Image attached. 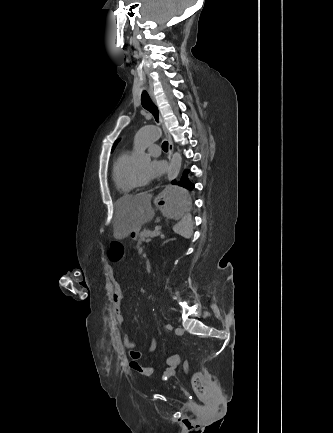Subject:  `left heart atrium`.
I'll return each mask as SVG.
<instances>
[{
  "label": "left heart atrium",
  "mask_w": 333,
  "mask_h": 433,
  "mask_svg": "<svg viewBox=\"0 0 333 433\" xmlns=\"http://www.w3.org/2000/svg\"><path fill=\"white\" fill-rule=\"evenodd\" d=\"M166 165L162 160L157 158L151 160L145 169L146 181H151L164 173Z\"/></svg>",
  "instance_id": "obj_1"
}]
</instances>
